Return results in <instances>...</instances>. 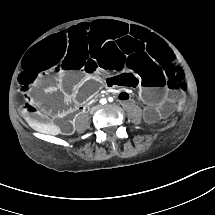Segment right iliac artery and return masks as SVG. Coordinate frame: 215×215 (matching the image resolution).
<instances>
[{
  "instance_id": "1",
  "label": "right iliac artery",
  "mask_w": 215,
  "mask_h": 215,
  "mask_svg": "<svg viewBox=\"0 0 215 215\" xmlns=\"http://www.w3.org/2000/svg\"><path fill=\"white\" fill-rule=\"evenodd\" d=\"M100 103H101L102 105H104V104L107 103V100H106V99H101V100H100Z\"/></svg>"
}]
</instances>
